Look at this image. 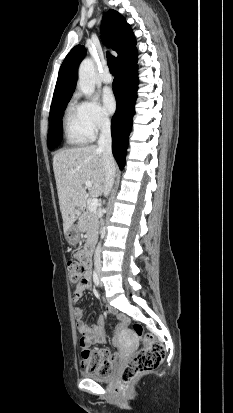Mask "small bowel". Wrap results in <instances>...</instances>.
<instances>
[{"mask_svg":"<svg viewBox=\"0 0 233 413\" xmlns=\"http://www.w3.org/2000/svg\"><path fill=\"white\" fill-rule=\"evenodd\" d=\"M83 257L84 252L81 249H78L75 252V259L79 260ZM91 287V277L88 273L86 277L79 284H77V286L74 289L72 296V301L74 304L73 312L76 319L77 329L81 334L80 345L82 349H89V347L93 345L95 347V350L93 352H98L99 350H97V347L106 341V336L104 332V318L100 316L98 318L97 323L90 325L84 319L83 309L77 305V303L83 295V292L85 290L91 289ZM107 310L110 313H115L114 309L111 307H108ZM119 319L120 326H124L128 323L127 318H125L124 316L119 315ZM116 356V354H112L111 359H115Z\"/></svg>","mask_w":233,"mask_h":413,"instance_id":"1","label":"small bowel"}]
</instances>
